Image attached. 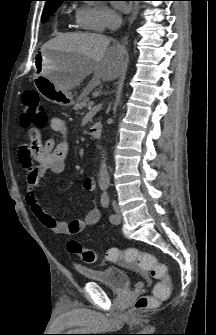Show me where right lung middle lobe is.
Instances as JSON below:
<instances>
[{
	"instance_id": "1",
	"label": "right lung middle lobe",
	"mask_w": 216,
	"mask_h": 335,
	"mask_svg": "<svg viewBox=\"0 0 216 335\" xmlns=\"http://www.w3.org/2000/svg\"><path fill=\"white\" fill-rule=\"evenodd\" d=\"M60 4L61 3L45 6L41 21L42 22L46 21L57 10Z\"/></svg>"
}]
</instances>
